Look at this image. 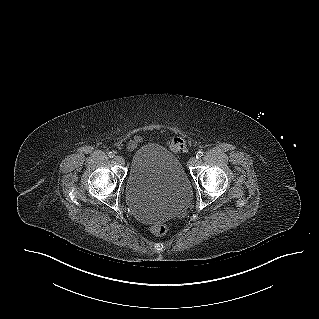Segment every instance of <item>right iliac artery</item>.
Instances as JSON below:
<instances>
[{
	"label": "right iliac artery",
	"mask_w": 319,
	"mask_h": 319,
	"mask_svg": "<svg viewBox=\"0 0 319 319\" xmlns=\"http://www.w3.org/2000/svg\"><path fill=\"white\" fill-rule=\"evenodd\" d=\"M108 156H109L110 158H113V157H115V152H113V151H110V152L108 153Z\"/></svg>",
	"instance_id": "82829eb1"
}]
</instances>
